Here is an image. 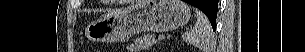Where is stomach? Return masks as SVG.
I'll return each mask as SVG.
<instances>
[{
    "label": "stomach",
    "mask_w": 305,
    "mask_h": 52,
    "mask_svg": "<svg viewBox=\"0 0 305 52\" xmlns=\"http://www.w3.org/2000/svg\"><path fill=\"white\" fill-rule=\"evenodd\" d=\"M190 7L181 0H147L119 15L91 22L85 37L91 42H118L139 32H166L185 26Z\"/></svg>",
    "instance_id": "stomach-1"
}]
</instances>
